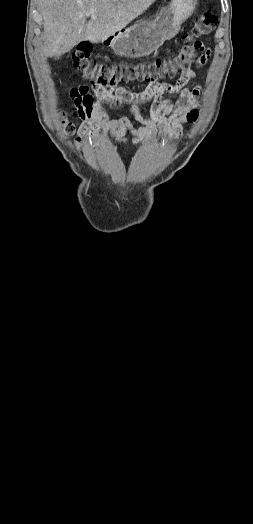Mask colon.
Wrapping results in <instances>:
<instances>
[{
	"instance_id": "5ec220e1",
	"label": "colon",
	"mask_w": 253,
	"mask_h": 524,
	"mask_svg": "<svg viewBox=\"0 0 253 524\" xmlns=\"http://www.w3.org/2000/svg\"><path fill=\"white\" fill-rule=\"evenodd\" d=\"M217 23V15L213 11L208 10L196 19L193 27L188 32L192 38L195 36L199 38L209 36L214 31ZM198 43L201 42L199 41ZM194 44L196 43L193 39L188 42L183 37L181 47L168 58H158L148 62H119L105 65L90 60V44L82 42L72 51L71 60L76 71L90 80L92 89L111 90L120 82H157L166 78H172L177 73L187 70L188 66L197 57L198 52L194 51ZM74 88L78 89V87ZM91 106V99L80 100L76 103V114L80 117L88 116L91 112ZM196 115V112H190L189 119L194 120ZM62 124L66 133L73 134L75 132V123L69 120L65 114H62Z\"/></svg>"
}]
</instances>
